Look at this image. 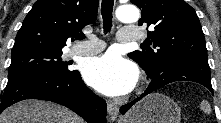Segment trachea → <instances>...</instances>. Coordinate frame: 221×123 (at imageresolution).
<instances>
[{
	"label": "trachea",
	"mask_w": 221,
	"mask_h": 123,
	"mask_svg": "<svg viewBox=\"0 0 221 123\" xmlns=\"http://www.w3.org/2000/svg\"><path fill=\"white\" fill-rule=\"evenodd\" d=\"M114 0H102L101 3V14L103 17V29L107 33L112 27V11H113Z\"/></svg>",
	"instance_id": "trachea-1"
}]
</instances>
